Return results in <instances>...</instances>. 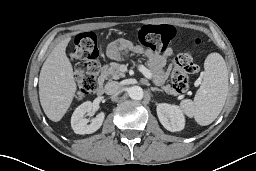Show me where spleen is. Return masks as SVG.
<instances>
[{
  "label": "spleen",
  "mask_w": 256,
  "mask_h": 171,
  "mask_svg": "<svg viewBox=\"0 0 256 171\" xmlns=\"http://www.w3.org/2000/svg\"><path fill=\"white\" fill-rule=\"evenodd\" d=\"M228 95V70L219 53H210L204 62L202 83L194 100L184 99L180 107L188 117L206 126L222 111Z\"/></svg>",
  "instance_id": "1"
}]
</instances>
